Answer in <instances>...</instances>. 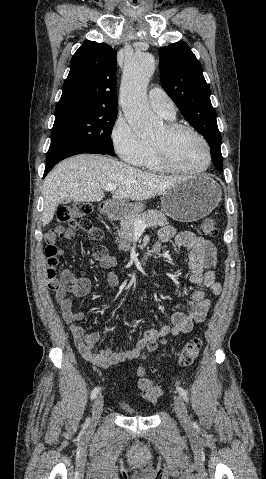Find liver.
I'll return each mask as SVG.
<instances>
[{"mask_svg":"<svg viewBox=\"0 0 266 479\" xmlns=\"http://www.w3.org/2000/svg\"><path fill=\"white\" fill-rule=\"evenodd\" d=\"M188 177L155 175L141 171L110 157L81 154L54 167L43 183L42 225L49 224L59 202L68 198L76 202H98L104 198L105 186L116 185L113 200L142 201L164 193Z\"/></svg>","mask_w":266,"mask_h":479,"instance_id":"6515ba94","label":"liver"}]
</instances>
